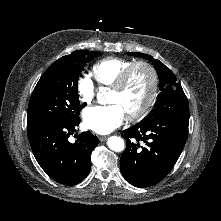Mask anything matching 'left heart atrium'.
Instances as JSON below:
<instances>
[{"mask_svg":"<svg viewBox=\"0 0 221 221\" xmlns=\"http://www.w3.org/2000/svg\"><path fill=\"white\" fill-rule=\"evenodd\" d=\"M125 119L123 108L116 103L87 108L83 113L85 126L99 134H107L119 127Z\"/></svg>","mask_w":221,"mask_h":221,"instance_id":"left-heart-atrium-1","label":"left heart atrium"}]
</instances>
